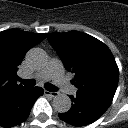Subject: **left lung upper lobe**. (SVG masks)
Masks as SVG:
<instances>
[{"mask_svg": "<svg viewBox=\"0 0 128 128\" xmlns=\"http://www.w3.org/2000/svg\"><path fill=\"white\" fill-rule=\"evenodd\" d=\"M66 70L75 73L78 93L114 96L119 70L109 48L98 39L78 31L46 34Z\"/></svg>", "mask_w": 128, "mask_h": 128, "instance_id": "1", "label": "left lung upper lobe"}]
</instances>
